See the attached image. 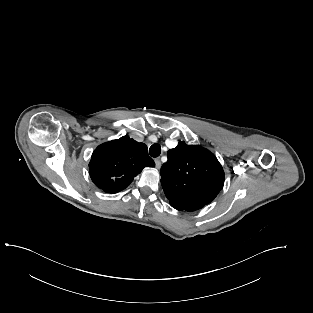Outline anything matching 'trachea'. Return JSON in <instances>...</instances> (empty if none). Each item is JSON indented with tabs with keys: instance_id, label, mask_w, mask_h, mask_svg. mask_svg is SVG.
<instances>
[{
	"instance_id": "obj_1",
	"label": "trachea",
	"mask_w": 313,
	"mask_h": 313,
	"mask_svg": "<svg viewBox=\"0 0 313 313\" xmlns=\"http://www.w3.org/2000/svg\"><path fill=\"white\" fill-rule=\"evenodd\" d=\"M161 153V146L159 144H153L149 149V154L152 157H158Z\"/></svg>"
}]
</instances>
